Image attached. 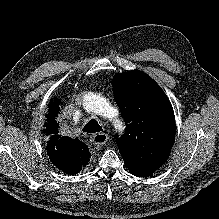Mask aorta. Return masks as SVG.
I'll return each instance as SVG.
<instances>
[{
    "mask_svg": "<svg viewBox=\"0 0 219 219\" xmlns=\"http://www.w3.org/2000/svg\"><path fill=\"white\" fill-rule=\"evenodd\" d=\"M82 103L87 111L95 115L110 117L113 112V108L110 106L107 99L95 92L84 93ZM114 127L118 132H122L124 129L120 119H114Z\"/></svg>",
    "mask_w": 219,
    "mask_h": 219,
    "instance_id": "1",
    "label": "aorta"
}]
</instances>
